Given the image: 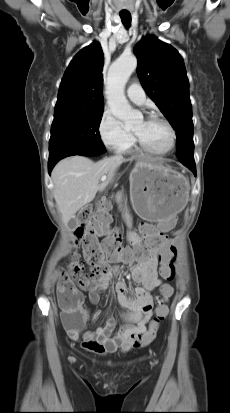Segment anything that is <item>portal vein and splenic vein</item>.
<instances>
[{
    "mask_svg": "<svg viewBox=\"0 0 230 413\" xmlns=\"http://www.w3.org/2000/svg\"><path fill=\"white\" fill-rule=\"evenodd\" d=\"M106 179H107V176L105 175L101 177V181H105Z\"/></svg>",
    "mask_w": 230,
    "mask_h": 413,
    "instance_id": "obj_1",
    "label": "portal vein and splenic vein"
}]
</instances>
